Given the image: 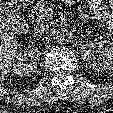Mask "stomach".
<instances>
[{"label":"stomach","instance_id":"1","mask_svg":"<svg viewBox=\"0 0 113 113\" xmlns=\"http://www.w3.org/2000/svg\"><path fill=\"white\" fill-rule=\"evenodd\" d=\"M21 1H27V2H29V1H33V0H21Z\"/></svg>","mask_w":113,"mask_h":113}]
</instances>
